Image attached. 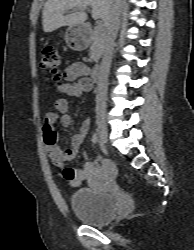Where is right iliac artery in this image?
Returning <instances> with one entry per match:
<instances>
[{"label": "right iliac artery", "mask_w": 194, "mask_h": 250, "mask_svg": "<svg viewBox=\"0 0 194 250\" xmlns=\"http://www.w3.org/2000/svg\"><path fill=\"white\" fill-rule=\"evenodd\" d=\"M98 140H99L98 133L95 132V133L93 134V136H92V142H93V144H96V143L98 142Z\"/></svg>", "instance_id": "right-iliac-artery-1"}]
</instances>
